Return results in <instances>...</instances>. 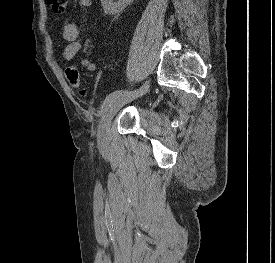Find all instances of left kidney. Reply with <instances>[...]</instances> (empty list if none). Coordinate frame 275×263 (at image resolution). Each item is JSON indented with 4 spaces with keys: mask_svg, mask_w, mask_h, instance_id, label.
Returning a JSON list of instances; mask_svg holds the SVG:
<instances>
[{
    "mask_svg": "<svg viewBox=\"0 0 275 263\" xmlns=\"http://www.w3.org/2000/svg\"><path fill=\"white\" fill-rule=\"evenodd\" d=\"M133 0H101L104 12L108 15H114L122 12Z\"/></svg>",
    "mask_w": 275,
    "mask_h": 263,
    "instance_id": "left-kidney-1",
    "label": "left kidney"
}]
</instances>
